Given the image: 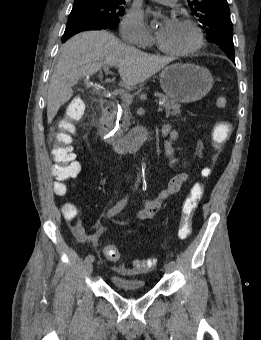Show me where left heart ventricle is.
Wrapping results in <instances>:
<instances>
[{
	"label": "left heart ventricle",
	"instance_id": "obj_1",
	"mask_svg": "<svg viewBox=\"0 0 261 340\" xmlns=\"http://www.w3.org/2000/svg\"><path fill=\"white\" fill-rule=\"evenodd\" d=\"M161 44L170 50L181 51L191 48L196 41L194 31L187 25L180 22L169 34H158Z\"/></svg>",
	"mask_w": 261,
	"mask_h": 340
}]
</instances>
